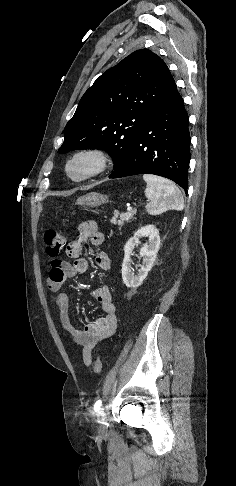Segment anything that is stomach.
<instances>
[{
    "label": "stomach",
    "instance_id": "obj_1",
    "mask_svg": "<svg viewBox=\"0 0 236 486\" xmlns=\"http://www.w3.org/2000/svg\"><path fill=\"white\" fill-rule=\"evenodd\" d=\"M108 202V197L106 195L91 192L77 199L76 204L85 205L89 207H98L102 204Z\"/></svg>",
    "mask_w": 236,
    "mask_h": 486
}]
</instances>
